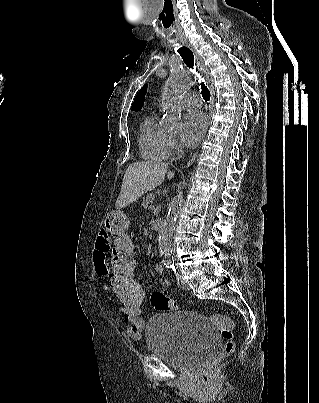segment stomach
Masks as SVG:
<instances>
[{
  "instance_id": "0dacf381",
  "label": "stomach",
  "mask_w": 319,
  "mask_h": 403,
  "mask_svg": "<svg viewBox=\"0 0 319 403\" xmlns=\"http://www.w3.org/2000/svg\"><path fill=\"white\" fill-rule=\"evenodd\" d=\"M130 221L125 212L113 211L106 216L104 227L106 231L115 234H124L128 229Z\"/></svg>"
}]
</instances>
